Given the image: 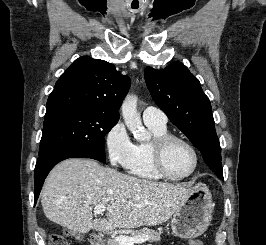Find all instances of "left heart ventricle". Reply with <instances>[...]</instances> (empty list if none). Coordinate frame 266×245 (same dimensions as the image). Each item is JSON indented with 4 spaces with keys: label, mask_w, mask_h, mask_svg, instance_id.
Instances as JSON below:
<instances>
[{
    "label": "left heart ventricle",
    "mask_w": 266,
    "mask_h": 245,
    "mask_svg": "<svg viewBox=\"0 0 266 245\" xmlns=\"http://www.w3.org/2000/svg\"><path fill=\"white\" fill-rule=\"evenodd\" d=\"M194 161L192 150L181 141H172L165 150V167L169 174L175 178L188 175L194 166Z\"/></svg>",
    "instance_id": "1"
}]
</instances>
